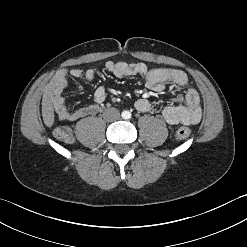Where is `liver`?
<instances>
[{"mask_svg": "<svg viewBox=\"0 0 247 247\" xmlns=\"http://www.w3.org/2000/svg\"><path fill=\"white\" fill-rule=\"evenodd\" d=\"M55 91V83L53 80L45 87L42 97V116L44 124L47 127H51L54 123V108L53 98Z\"/></svg>", "mask_w": 247, "mask_h": 247, "instance_id": "6515ba94", "label": "liver"}]
</instances>
